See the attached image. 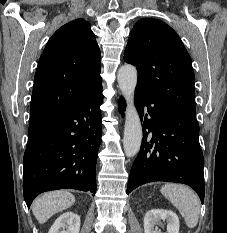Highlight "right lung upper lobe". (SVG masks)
<instances>
[{
    "label": "right lung upper lobe",
    "instance_id": "1",
    "mask_svg": "<svg viewBox=\"0 0 227 233\" xmlns=\"http://www.w3.org/2000/svg\"><path fill=\"white\" fill-rule=\"evenodd\" d=\"M100 49L83 19L59 28L49 39L37 66L30 106L35 123L101 87Z\"/></svg>",
    "mask_w": 227,
    "mask_h": 233
}]
</instances>
